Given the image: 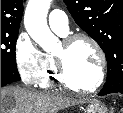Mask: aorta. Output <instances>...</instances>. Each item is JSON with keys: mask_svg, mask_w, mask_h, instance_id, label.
Here are the masks:
<instances>
[{"mask_svg": "<svg viewBox=\"0 0 123 113\" xmlns=\"http://www.w3.org/2000/svg\"><path fill=\"white\" fill-rule=\"evenodd\" d=\"M51 0H29L24 25L30 37L46 52L56 49L58 38L47 25V13Z\"/></svg>", "mask_w": 123, "mask_h": 113, "instance_id": "1", "label": "aorta"}]
</instances>
